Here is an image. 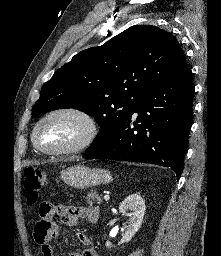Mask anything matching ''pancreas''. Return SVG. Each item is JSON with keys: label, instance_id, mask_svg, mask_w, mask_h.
Wrapping results in <instances>:
<instances>
[{"label": "pancreas", "instance_id": "obj_1", "mask_svg": "<svg viewBox=\"0 0 221 256\" xmlns=\"http://www.w3.org/2000/svg\"><path fill=\"white\" fill-rule=\"evenodd\" d=\"M85 199L89 205H93L94 203L100 205L103 201L101 195L96 191L89 192Z\"/></svg>", "mask_w": 221, "mask_h": 256}]
</instances>
